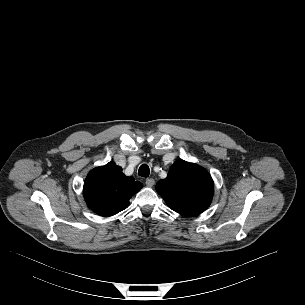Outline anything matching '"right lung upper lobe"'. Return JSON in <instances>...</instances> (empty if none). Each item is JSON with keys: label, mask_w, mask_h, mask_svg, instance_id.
<instances>
[{"label": "right lung upper lobe", "mask_w": 305, "mask_h": 305, "mask_svg": "<svg viewBox=\"0 0 305 305\" xmlns=\"http://www.w3.org/2000/svg\"><path fill=\"white\" fill-rule=\"evenodd\" d=\"M142 183L122 173L114 162L93 169L84 183L83 194L88 207L100 216L109 217L124 210Z\"/></svg>", "instance_id": "obj_1"}]
</instances>
